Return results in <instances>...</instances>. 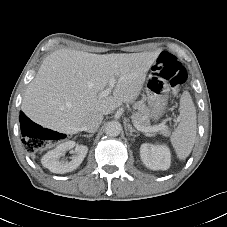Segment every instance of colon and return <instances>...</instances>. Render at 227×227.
<instances>
[{
    "label": "colon",
    "mask_w": 227,
    "mask_h": 227,
    "mask_svg": "<svg viewBox=\"0 0 227 227\" xmlns=\"http://www.w3.org/2000/svg\"><path fill=\"white\" fill-rule=\"evenodd\" d=\"M152 71L155 75L168 81L175 93L187 79L186 68L174 55L168 52H162L158 56ZM25 130L27 132V139L24 142V148L29 152L39 150L46 141L52 138L51 131L35 124H27Z\"/></svg>",
    "instance_id": "obj_1"
}]
</instances>
